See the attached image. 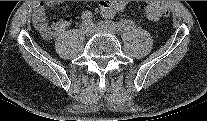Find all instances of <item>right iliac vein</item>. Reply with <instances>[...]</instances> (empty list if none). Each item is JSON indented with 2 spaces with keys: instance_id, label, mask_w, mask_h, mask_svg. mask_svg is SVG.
I'll return each mask as SVG.
<instances>
[{
  "instance_id": "right-iliac-vein-1",
  "label": "right iliac vein",
  "mask_w": 207,
  "mask_h": 121,
  "mask_svg": "<svg viewBox=\"0 0 207 121\" xmlns=\"http://www.w3.org/2000/svg\"><path fill=\"white\" fill-rule=\"evenodd\" d=\"M81 29L83 34H85L86 36H90L93 33L92 25L90 23L83 22L81 25Z\"/></svg>"
}]
</instances>
